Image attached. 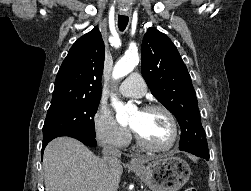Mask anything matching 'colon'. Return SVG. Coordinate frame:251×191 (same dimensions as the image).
I'll return each mask as SVG.
<instances>
[{
	"mask_svg": "<svg viewBox=\"0 0 251 191\" xmlns=\"http://www.w3.org/2000/svg\"><path fill=\"white\" fill-rule=\"evenodd\" d=\"M183 191H197V190H196V188H194V187L188 186V187L184 188Z\"/></svg>",
	"mask_w": 251,
	"mask_h": 191,
	"instance_id": "1",
	"label": "colon"
}]
</instances>
